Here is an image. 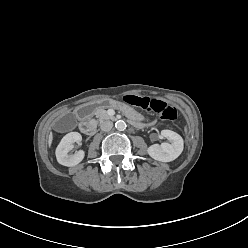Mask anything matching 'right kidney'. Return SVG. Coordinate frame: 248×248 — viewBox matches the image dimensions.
I'll list each match as a JSON object with an SVG mask.
<instances>
[{
    "instance_id": "right-kidney-1",
    "label": "right kidney",
    "mask_w": 248,
    "mask_h": 248,
    "mask_svg": "<svg viewBox=\"0 0 248 248\" xmlns=\"http://www.w3.org/2000/svg\"><path fill=\"white\" fill-rule=\"evenodd\" d=\"M81 140L82 136L78 132H70L61 139L55 152L59 164L71 167L79 164L83 160L85 156L83 150H79L74 154H69L72 150V144L74 142L80 143Z\"/></svg>"
}]
</instances>
